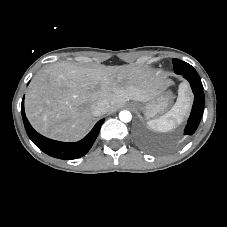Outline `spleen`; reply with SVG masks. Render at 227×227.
I'll use <instances>...</instances> for the list:
<instances>
[{
  "label": "spleen",
  "mask_w": 227,
  "mask_h": 227,
  "mask_svg": "<svg viewBox=\"0 0 227 227\" xmlns=\"http://www.w3.org/2000/svg\"><path fill=\"white\" fill-rule=\"evenodd\" d=\"M187 109V97L185 91H181L171 110L157 119L148 121L147 125L158 132L171 131L182 122Z\"/></svg>",
  "instance_id": "spleen-1"
}]
</instances>
